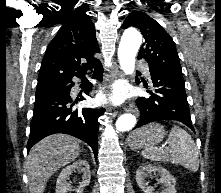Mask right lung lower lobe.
<instances>
[{
	"instance_id": "right-lung-lower-lobe-1",
	"label": "right lung lower lobe",
	"mask_w": 221,
	"mask_h": 193,
	"mask_svg": "<svg viewBox=\"0 0 221 193\" xmlns=\"http://www.w3.org/2000/svg\"><path fill=\"white\" fill-rule=\"evenodd\" d=\"M103 68L101 63L95 65V77L100 78ZM73 81L59 82L36 92L33 118L30 124V136L27 150L54 133L72 135L88 143L97 157L98 118L104 113L103 108L72 109L70 91ZM92 84H88L85 93L88 95ZM80 100H84L83 97Z\"/></svg>"
}]
</instances>
